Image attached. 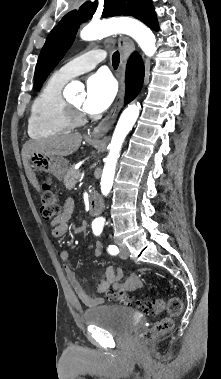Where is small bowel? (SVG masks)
Wrapping results in <instances>:
<instances>
[{"mask_svg":"<svg viewBox=\"0 0 221 379\" xmlns=\"http://www.w3.org/2000/svg\"><path fill=\"white\" fill-rule=\"evenodd\" d=\"M72 212L73 201L71 199H67L60 213L51 223V234L54 238H60L68 231L69 222L72 219ZM101 251L102 246L97 243L95 247V255H100ZM60 258L65 267L67 279L81 302L87 306H96L101 304L103 299L100 297L90 296L78 281L75 271L68 266L70 253L67 250L61 251ZM141 285V280L136 274L131 273L124 278L122 269H115L113 266H108L105 269L103 278H101L97 283L95 291L98 294L110 291L125 293L128 291H134L140 288Z\"/></svg>","mask_w":221,"mask_h":379,"instance_id":"obj_1","label":"small bowel"}]
</instances>
